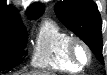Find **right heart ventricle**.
<instances>
[{"label":"right heart ventricle","mask_w":107,"mask_h":75,"mask_svg":"<svg viewBox=\"0 0 107 75\" xmlns=\"http://www.w3.org/2000/svg\"><path fill=\"white\" fill-rule=\"evenodd\" d=\"M72 35L52 20L39 28L32 56V65L41 69L78 72L81 67L74 64L68 55V44Z\"/></svg>","instance_id":"e07e8e85"}]
</instances>
